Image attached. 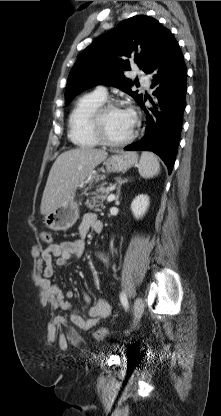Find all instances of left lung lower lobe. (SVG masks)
<instances>
[{"label":"left lung lower lobe","instance_id":"1","mask_svg":"<svg viewBox=\"0 0 221 416\" xmlns=\"http://www.w3.org/2000/svg\"><path fill=\"white\" fill-rule=\"evenodd\" d=\"M148 74L152 77L151 88H155L152 107H145L142 99L139 106L146 114L144 136L126 146L125 150H148L161 157L172 172L181 134L185 110L187 68L182 51L171 32L155 54Z\"/></svg>","mask_w":221,"mask_h":416}]
</instances>
